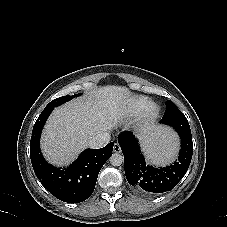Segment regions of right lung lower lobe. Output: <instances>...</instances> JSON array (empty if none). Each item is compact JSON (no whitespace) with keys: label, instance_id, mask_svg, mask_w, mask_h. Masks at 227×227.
Returning <instances> with one entry per match:
<instances>
[{"label":"right lung lower lobe","instance_id":"1","mask_svg":"<svg viewBox=\"0 0 227 227\" xmlns=\"http://www.w3.org/2000/svg\"><path fill=\"white\" fill-rule=\"evenodd\" d=\"M53 109L44 108L34 124L30 142L32 166L42 185L57 199L68 203L82 202L93 193L98 174L112 155L114 143L101 149H86L71 166L62 170L48 164L41 154L39 140Z\"/></svg>","mask_w":227,"mask_h":227}]
</instances>
